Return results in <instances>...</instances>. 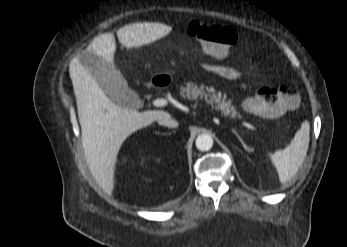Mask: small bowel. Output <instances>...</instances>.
Wrapping results in <instances>:
<instances>
[{
    "mask_svg": "<svg viewBox=\"0 0 347 247\" xmlns=\"http://www.w3.org/2000/svg\"><path fill=\"white\" fill-rule=\"evenodd\" d=\"M202 67L204 70L212 74H215L219 77H222L224 79L231 80V81L237 80L241 76L240 72L237 69L227 65L204 63L202 64Z\"/></svg>",
    "mask_w": 347,
    "mask_h": 247,
    "instance_id": "small-bowel-1",
    "label": "small bowel"
}]
</instances>
